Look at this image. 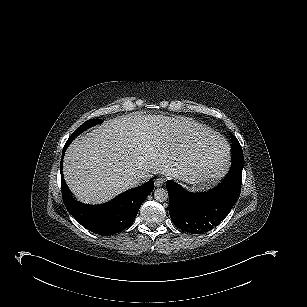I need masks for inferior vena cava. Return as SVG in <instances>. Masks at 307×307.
Wrapping results in <instances>:
<instances>
[{"mask_svg": "<svg viewBox=\"0 0 307 307\" xmlns=\"http://www.w3.org/2000/svg\"><path fill=\"white\" fill-rule=\"evenodd\" d=\"M147 180H149L147 175L144 176H138L132 179V181L129 183L130 187H136L143 183H145Z\"/></svg>", "mask_w": 307, "mask_h": 307, "instance_id": "602c4592", "label": "inferior vena cava"}]
</instances>
